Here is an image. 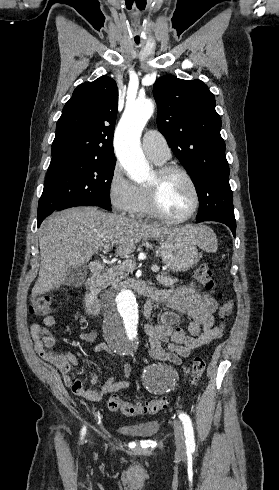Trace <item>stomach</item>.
Returning a JSON list of instances; mask_svg holds the SVG:
<instances>
[{
    "mask_svg": "<svg viewBox=\"0 0 279 490\" xmlns=\"http://www.w3.org/2000/svg\"><path fill=\"white\" fill-rule=\"evenodd\" d=\"M196 244L192 238L172 232L163 238L159 256L171 272H187L199 262Z\"/></svg>",
    "mask_w": 279,
    "mask_h": 490,
    "instance_id": "1",
    "label": "stomach"
}]
</instances>
